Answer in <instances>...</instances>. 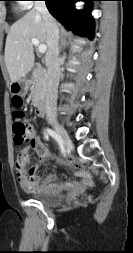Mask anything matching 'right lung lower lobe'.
I'll use <instances>...</instances> for the list:
<instances>
[{
    "label": "right lung lower lobe",
    "instance_id": "98d812e1",
    "mask_svg": "<svg viewBox=\"0 0 133 253\" xmlns=\"http://www.w3.org/2000/svg\"><path fill=\"white\" fill-rule=\"evenodd\" d=\"M77 1L90 2L94 0H45V3L51 15L68 30H73L91 39L93 22L89 9L77 11L74 7V3Z\"/></svg>",
    "mask_w": 133,
    "mask_h": 253
}]
</instances>
